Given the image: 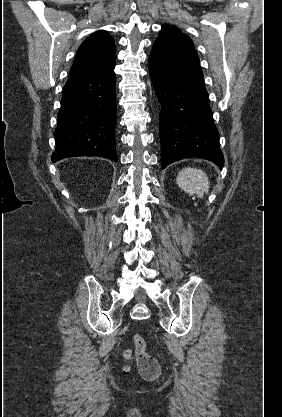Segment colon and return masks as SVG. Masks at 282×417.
<instances>
[{
    "instance_id": "colon-1",
    "label": "colon",
    "mask_w": 282,
    "mask_h": 417,
    "mask_svg": "<svg viewBox=\"0 0 282 417\" xmlns=\"http://www.w3.org/2000/svg\"><path fill=\"white\" fill-rule=\"evenodd\" d=\"M134 348L139 352V358L136 363H138V372L146 380L156 379L161 372V365L152 355L147 352V343L145 339L139 335L135 334L133 336ZM132 350L125 351V358H131ZM129 367H125V371H128Z\"/></svg>"
}]
</instances>
